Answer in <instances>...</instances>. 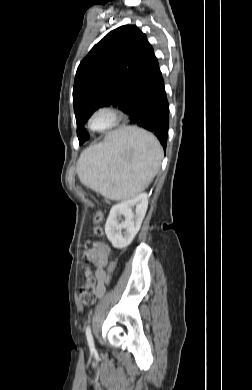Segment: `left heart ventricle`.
<instances>
[{"label":"left heart ventricle","mask_w":252,"mask_h":390,"mask_svg":"<svg viewBox=\"0 0 252 390\" xmlns=\"http://www.w3.org/2000/svg\"><path fill=\"white\" fill-rule=\"evenodd\" d=\"M109 122V118L107 115L105 114H100L98 115L95 119H94V122H93V125L96 127V128H102L104 126H106Z\"/></svg>","instance_id":"obj_1"}]
</instances>
